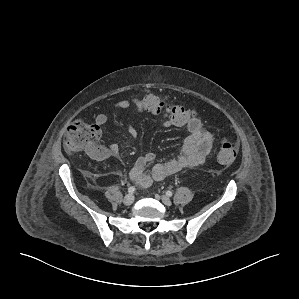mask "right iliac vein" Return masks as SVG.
I'll use <instances>...</instances> for the list:
<instances>
[{"instance_id": "obj_1", "label": "right iliac vein", "mask_w": 299, "mask_h": 299, "mask_svg": "<svg viewBox=\"0 0 299 299\" xmlns=\"http://www.w3.org/2000/svg\"><path fill=\"white\" fill-rule=\"evenodd\" d=\"M134 202V196L132 194H128L124 197L123 203L127 206L131 205Z\"/></svg>"}]
</instances>
